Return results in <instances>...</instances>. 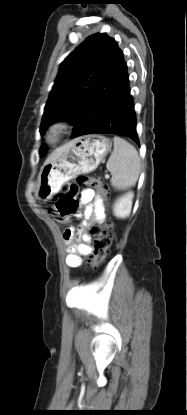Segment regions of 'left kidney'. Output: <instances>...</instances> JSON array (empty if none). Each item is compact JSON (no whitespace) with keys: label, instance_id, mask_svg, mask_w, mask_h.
<instances>
[{"label":"left kidney","instance_id":"5707ae66","mask_svg":"<svg viewBox=\"0 0 187 415\" xmlns=\"http://www.w3.org/2000/svg\"><path fill=\"white\" fill-rule=\"evenodd\" d=\"M133 197V192H128L116 200L113 206V212L116 217L126 218L130 215Z\"/></svg>","mask_w":187,"mask_h":415}]
</instances>
